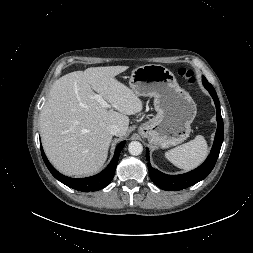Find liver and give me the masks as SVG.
Returning a JSON list of instances; mask_svg holds the SVG:
<instances>
[{
    "instance_id": "obj_1",
    "label": "liver",
    "mask_w": 253,
    "mask_h": 253,
    "mask_svg": "<svg viewBox=\"0 0 253 253\" xmlns=\"http://www.w3.org/2000/svg\"><path fill=\"white\" fill-rule=\"evenodd\" d=\"M128 66L90 67L56 80L40 114L44 151L54 167L68 176L90 175L102 168L112 140L107 128L118 125L125 136L129 117L143 104L115 76ZM113 105L103 107L94 95Z\"/></svg>"
}]
</instances>
